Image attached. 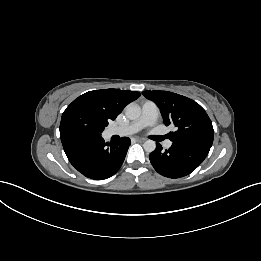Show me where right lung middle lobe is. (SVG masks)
<instances>
[{"instance_id":"obj_1","label":"right lung middle lobe","mask_w":261,"mask_h":261,"mask_svg":"<svg viewBox=\"0 0 261 261\" xmlns=\"http://www.w3.org/2000/svg\"><path fill=\"white\" fill-rule=\"evenodd\" d=\"M108 122L94 110L84 105L68 106L63 112L60 135L89 134L101 136Z\"/></svg>"}]
</instances>
